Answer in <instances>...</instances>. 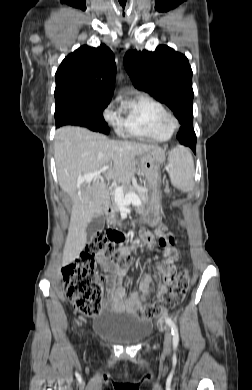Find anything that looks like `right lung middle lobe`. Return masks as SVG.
I'll return each mask as SVG.
<instances>
[{
  "instance_id": "1",
  "label": "right lung middle lobe",
  "mask_w": 252,
  "mask_h": 390,
  "mask_svg": "<svg viewBox=\"0 0 252 390\" xmlns=\"http://www.w3.org/2000/svg\"><path fill=\"white\" fill-rule=\"evenodd\" d=\"M107 102H77L66 101L56 104V127L76 125L92 131L109 134V128L102 116Z\"/></svg>"
}]
</instances>
